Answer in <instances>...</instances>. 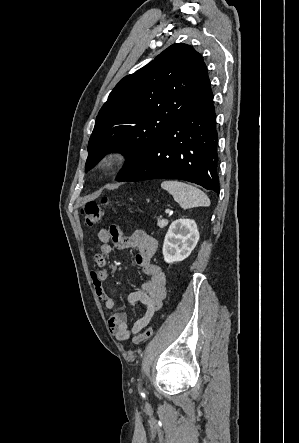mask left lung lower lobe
<instances>
[{
  "instance_id": "1",
  "label": "left lung lower lobe",
  "mask_w": 299,
  "mask_h": 443,
  "mask_svg": "<svg viewBox=\"0 0 299 443\" xmlns=\"http://www.w3.org/2000/svg\"><path fill=\"white\" fill-rule=\"evenodd\" d=\"M209 86L163 133L142 160L118 179H180L219 194L218 134Z\"/></svg>"
}]
</instances>
